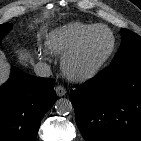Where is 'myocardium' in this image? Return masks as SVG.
<instances>
[{
  "mask_svg": "<svg viewBox=\"0 0 141 141\" xmlns=\"http://www.w3.org/2000/svg\"><path fill=\"white\" fill-rule=\"evenodd\" d=\"M99 29L106 30L110 34L111 44H110L108 51L94 65H92L86 69H81V70L75 69V67H74L75 59L77 58V56L81 52V50H82L84 44L86 43V41L88 40V38L95 31H97ZM115 47H116V38H115L113 31L105 25L97 24V25L93 26L91 29H89L79 39V41L68 52H66L63 55L62 60H61L62 71L66 75V77L71 81L78 82V83L86 82V81L94 78L96 75H98L103 70V68L106 66V64L111 59V57L114 53Z\"/></svg>",
  "mask_w": 141,
  "mask_h": 141,
  "instance_id": "myocardium-1",
  "label": "myocardium"
}]
</instances>
